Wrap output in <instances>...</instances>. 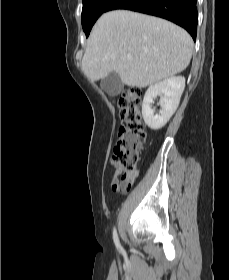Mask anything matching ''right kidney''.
<instances>
[{
    "label": "right kidney",
    "instance_id": "ca27d5eb",
    "mask_svg": "<svg viewBox=\"0 0 229 280\" xmlns=\"http://www.w3.org/2000/svg\"><path fill=\"white\" fill-rule=\"evenodd\" d=\"M184 87L185 78L182 76H173L149 86L142 103V116L148 127L158 130L169 121L179 105ZM157 96H160L161 109L159 114H154L151 105Z\"/></svg>",
    "mask_w": 229,
    "mask_h": 280
}]
</instances>
